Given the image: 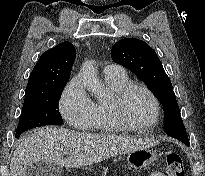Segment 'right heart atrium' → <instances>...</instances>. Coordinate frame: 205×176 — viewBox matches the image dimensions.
<instances>
[{"instance_id": "obj_1", "label": "right heart atrium", "mask_w": 205, "mask_h": 176, "mask_svg": "<svg viewBox=\"0 0 205 176\" xmlns=\"http://www.w3.org/2000/svg\"><path fill=\"white\" fill-rule=\"evenodd\" d=\"M64 120L74 129H87L94 116V102L87 94L82 79L76 76L65 86L58 103Z\"/></svg>"}]
</instances>
